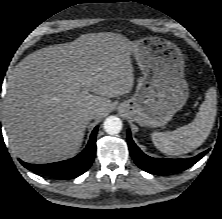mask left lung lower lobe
Segmentation results:
<instances>
[{
    "label": "left lung lower lobe",
    "mask_w": 222,
    "mask_h": 219,
    "mask_svg": "<svg viewBox=\"0 0 222 219\" xmlns=\"http://www.w3.org/2000/svg\"><path fill=\"white\" fill-rule=\"evenodd\" d=\"M128 147L134 162L142 170L151 174L178 173L186 170L198 162L208 151H204L195 157L188 159H160L153 158L144 154L131 138V132L128 130Z\"/></svg>",
    "instance_id": "obj_1"
}]
</instances>
